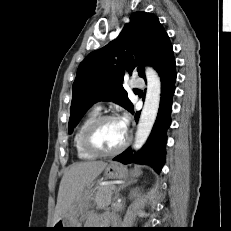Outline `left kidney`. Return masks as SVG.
Masks as SVG:
<instances>
[{"mask_svg": "<svg viewBox=\"0 0 231 231\" xmlns=\"http://www.w3.org/2000/svg\"><path fill=\"white\" fill-rule=\"evenodd\" d=\"M138 191H139V189L138 190L134 189L133 191H131L130 198L136 197L138 195Z\"/></svg>", "mask_w": 231, "mask_h": 231, "instance_id": "5707ae66", "label": "left kidney"}]
</instances>
